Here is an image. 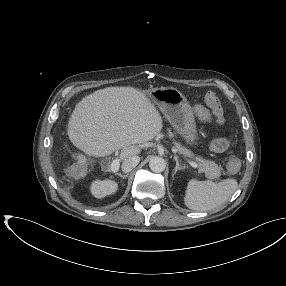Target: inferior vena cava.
Listing matches in <instances>:
<instances>
[{
    "label": "inferior vena cava",
    "mask_w": 286,
    "mask_h": 286,
    "mask_svg": "<svg viewBox=\"0 0 286 286\" xmlns=\"http://www.w3.org/2000/svg\"><path fill=\"white\" fill-rule=\"evenodd\" d=\"M140 157L139 156H129L124 159L122 163V171L124 173H129L131 170H133L139 163Z\"/></svg>",
    "instance_id": "obj_1"
}]
</instances>
